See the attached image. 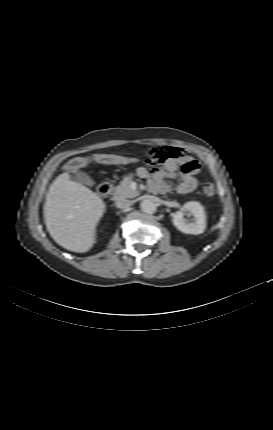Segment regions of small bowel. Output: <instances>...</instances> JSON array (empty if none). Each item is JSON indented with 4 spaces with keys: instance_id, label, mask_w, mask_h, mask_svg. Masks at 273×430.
<instances>
[{
    "instance_id": "c3829d8e",
    "label": "small bowel",
    "mask_w": 273,
    "mask_h": 430,
    "mask_svg": "<svg viewBox=\"0 0 273 430\" xmlns=\"http://www.w3.org/2000/svg\"><path fill=\"white\" fill-rule=\"evenodd\" d=\"M149 162L153 165L150 171L138 167L136 173L149 180L153 191L159 193L170 191L168 179L177 180L175 189L178 193H189L196 188V175L201 166L190 152L172 146L155 148L149 154Z\"/></svg>"
}]
</instances>
